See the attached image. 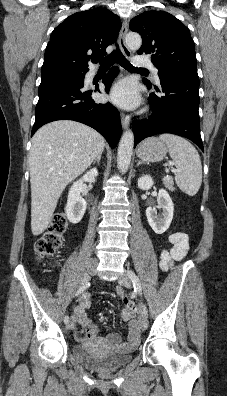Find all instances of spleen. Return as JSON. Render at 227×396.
Returning <instances> with one entry per match:
<instances>
[{"instance_id":"spleen-1","label":"spleen","mask_w":227,"mask_h":396,"mask_svg":"<svg viewBox=\"0 0 227 396\" xmlns=\"http://www.w3.org/2000/svg\"><path fill=\"white\" fill-rule=\"evenodd\" d=\"M159 139L168 145L170 157L175 163L177 186L184 193L194 196L202 183V165L197 150L180 136L162 134Z\"/></svg>"}]
</instances>
